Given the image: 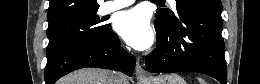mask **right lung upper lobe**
I'll return each mask as SVG.
<instances>
[{
  "label": "right lung upper lobe",
  "mask_w": 260,
  "mask_h": 84,
  "mask_svg": "<svg viewBox=\"0 0 260 84\" xmlns=\"http://www.w3.org/2000/svg\"><path fill=\"white\" fill-rule=\"evenodd\" d=\"M98 8L97 0H50L47 13L48 28L82 15L97 12Z\"/></svg>",
  "instance_id": "right-lung-upper-lobe-1"
}]
</instances>
